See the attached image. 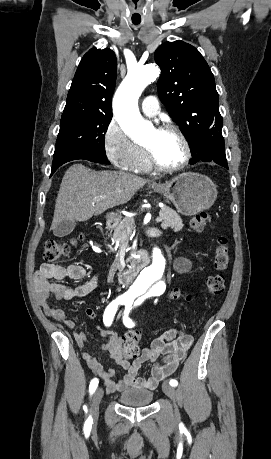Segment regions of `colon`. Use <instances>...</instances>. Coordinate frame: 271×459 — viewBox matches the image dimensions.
Wrapping results in <instances>:
<instances>
[{
	"label": "colon",
	"mask_w": 271,
	"mask_h": 459,
	"mask_svg": "<svg viewBox=\"0 0 271 459\" xmlns=\"http://www.w3.org/2000/svg\"><path fill=\"white\" fill-rule=\"evenodd\" d=\"M211 221L208 212H201L195 215L190 222V226L195 231L203 230ZM77 240H72L71 244H76ZM70 244L61 242L58 239H49L44 244V259L52 262L59 260L69 254ZM214 264L217 270L224 271L231 264V257L227 246V239L220 237L215 251ZM206 292L213 297L219 296L224 290V276L221 274L209 276L205 282ZM174 297L177 293L173 294ZM141 335L136 330H130L125 334L123 345V356L126 359H133L139 355V343Z\"/></svg>",
	"instance_id": "obj_1"
}]
</instances>
